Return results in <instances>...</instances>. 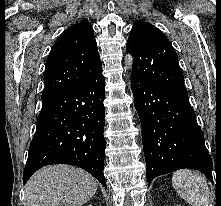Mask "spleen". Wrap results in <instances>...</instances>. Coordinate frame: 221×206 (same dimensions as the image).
I'll list each match as a JSON object with an SVG mask.
<instances>
[{"label": "spleen", "instance_id": "spleen-1", "mask_svg": "<svg viewBox=\"0 0 221 206\" xmlns=\"http://www.w3.org/2000/svg\"><path fill=\"white\" fill-rule=\"evenodd\" d=\"M172 184L191 206H209V187L200 174L188 169L179 170L173 174Z\"/></svg>", "mask_w": 221, "mask_h": 206}]
</instances>
